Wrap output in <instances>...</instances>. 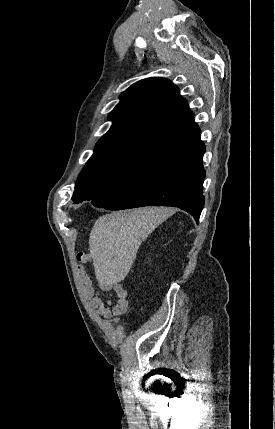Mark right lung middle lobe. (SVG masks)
<instances>
[{"label":"right lung middle lobe","instance_id":"obj_1","mask_svg":"<svg viewBox=\"0 0 275 429\" xmlns=\"http://www.w3.org/2000/svg\"><path fill=\"white\" fill-rule=\"evenodd\" d=\"M150 157L124 149L94 153L85 164L75 186L72 200H93L114 189Z\"/></svg>","mask_w":275,"mask_h":429}]
</instances>
